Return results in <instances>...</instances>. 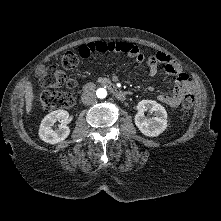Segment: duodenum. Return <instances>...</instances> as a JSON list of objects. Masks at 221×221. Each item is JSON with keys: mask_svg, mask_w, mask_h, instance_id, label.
I'll return each instance as SVG.
<instances>
[{"mask_svg": "<svg viewBox=\"0 0 221 221\" xmlns=\"http://www.w3.org/2000/svg\"><path fill=\"white\" fill-rule=\"evenodd\" d=\"M99 85L107 88L118 100L124 101L127 98V93L122 89L118 88L114 83L109 80L103 79L99 81ZM93 84L88 83L84 87V93L92 91Z\"/></svg>", "mask_w": 221, "mask_h": 221, "instance_id": "410a0bca", "label": "duodenum"}]
</instances>
